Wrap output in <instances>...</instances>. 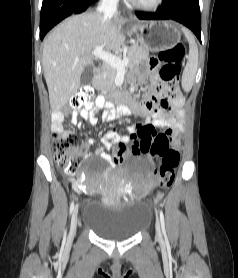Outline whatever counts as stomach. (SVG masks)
Here are the masks:
<instances>
[{
    "label": "stomach",
    "instance_id": "0dacf381",
    "mask_svg": "<svg viewBox=\"0 0 238 278\" xmlns=\"http://www.w3.org/2000/svg\"><path fill=\"white\" fill-rule=\"evenodd\" d=\"M142 47L150 51L170 49L180 42L178 28L168 21H149L132 26Z\"/></svg>",
    "mask_w": 238,
    "mask_h": 278
}]
</instances>
